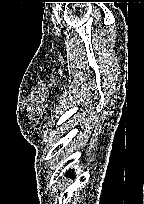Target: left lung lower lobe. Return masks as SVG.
Segmentation results:
<instances>
[{"label": "left lung lower lobe", "mask_w": 144, "mask_h": 204, "mask_svg": "<svg viewBox=\"0 0 144 204\" xmlns=\"http://www.w3.org/2000/svg\"><path fill=\"white\" fill-rule=\"evenodd\" d=\"M67 176H70L71 178H73L74 176H73V174L72 173H70V172H68L67 173Z\"/></svg>", "instance_id": "left-lung-lower-lobe-1"}]
</instances>
